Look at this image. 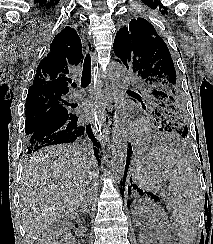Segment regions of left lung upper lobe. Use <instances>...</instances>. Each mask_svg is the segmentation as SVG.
<instances>
[{
    "label": "left lung upper lobe",
    "instance_id": "5c2ea615",
    "mask_svg": "<svg viewBox=\"0 0 213 244\" xmlns=\"http://www.w3.org/2000/svg\"><path fill=\"white\" fill-rule=\"evenodd\" d=\"M117 61L133 72L140 95H132L142 107H148L167 128L164 132L187 138V114L171 54L155 28L143 18L132 19L118 30L114 40ZM136 102V100H134Z\"/></svg>",
    "mask_w": 213,
    "mask_h": 244
}]
</instances>
